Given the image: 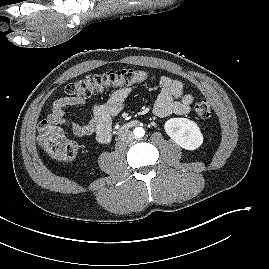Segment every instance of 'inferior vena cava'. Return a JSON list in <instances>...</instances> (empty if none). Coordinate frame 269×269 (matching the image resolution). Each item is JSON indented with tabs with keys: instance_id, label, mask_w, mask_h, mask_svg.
<instances>
[{
	"instance_id": "1",
	"label": "inferior vena cava",
	"mask_w": 269,
	"mask_h": 269,
	"mask_svg": "<svg viewBox=\"0 0 269 269\" xmlns=\"http://www.w3.org/2000/svg\"><path fill=\"white\" fill-rule=\"evenodd\" d=\"M132 138H133V133L130 130H125L121 132V134L119 135V140L122 142H128L132 140Z\"/></svg>"
}]
</instances>
